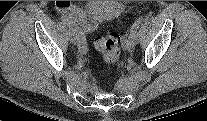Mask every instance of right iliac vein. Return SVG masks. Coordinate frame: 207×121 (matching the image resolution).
<instances>
[{"label": "right iliac vein", "instance_id": "obj_1", "mask_svg": "<svg viewBox=\"0 0 207 121\" xmlns=\"http://www.w3.org/2000/svg\"><path fill=\"white\" fill-rule=\"evenodd\" d=\"M69 37H70V41L73 44L78 46V37H77L76 31L74 29H70L69 30ZM80 51L82 53H84V52H86V49L85 48H80Z\"/></svg>", "mask_w": 207, "mask_h": 121}]
</instances>
